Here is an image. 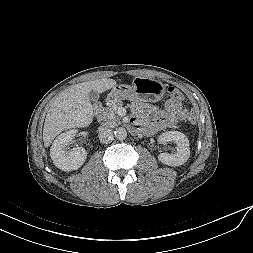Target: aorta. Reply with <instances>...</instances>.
<instances>
[{"label":"aorta","mask_w":253,"mask_h":253,"mask_svg":"<svg viewBox=\"0 0 253 253\" xmlns=\"http://www.w3.org/2000/svg\"><path fill=\"white\" fill-rule=\"evenodd\" d=\"M114 136L118 140H125L127 138V131L123 127H119L115 130Z\"/></svg>","instance_id":"1"}]
</instances>
